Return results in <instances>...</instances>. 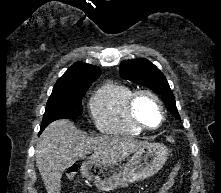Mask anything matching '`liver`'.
Here are the masks:
<instances>
[{
  "mask_svg": "<svg viewBox=\"0 0 221 193\" xmlns=\"http://www.w3.org/2000/svg\"><path fill=\"white\" fill-rule=\"evenodd\" d=\"M147 144L130 136L89 137L74 123L62 119L49 124L42 132L35 151L36 166L47 193H60L65 169L90 152L93 154L89 162L109 165L124 160Z\"/></svg>",
  "mask_w": 221,
  "mask_h": 193,
  "instance_id": "1",
  "label": "liver"
}]
</instances>
